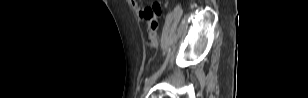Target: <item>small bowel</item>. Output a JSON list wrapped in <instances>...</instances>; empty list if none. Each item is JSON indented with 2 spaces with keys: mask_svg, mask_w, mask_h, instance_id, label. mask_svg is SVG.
I'll use <instances>...</instances> for the list:
<instances>
[{
  "mask_svg": "<svg viewBox=\"0 0 308 98\" xmlns=\"http://www.w3.org/2000/svg\"><path fill=\"white\" fill-rule=\"evenodd\" d=\"M132 5L135 6V5H136V1H132ZM142 17L145 18V19H147V20H150V19H149L148 17H146L145 15L142 16ZM150 24H153L151 20H150ZM150 24H149V25H150Z\"/></svg>",
  "mask_w": 308,
  "mask_h": 98,
  "instance_id": "obj_1",
  "label": "small bowel"
}]
</instances>
